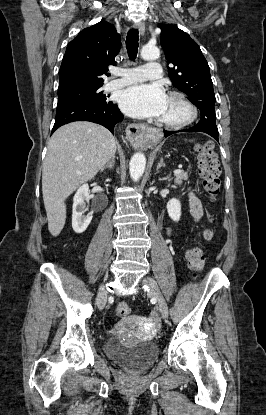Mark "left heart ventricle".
<instances>
[{
    "label": "left heart ventricle",
    "instance_id": "obj_1",
    "mask_svg": "<svg viewBox=\"0 0 266 415\" xmlns=\"http://www.w3.org/2000/svg\"><path fill=\"white\" fill-rule=\"evenodd\" d=\"M187 114L188 112L183 105L176 100L168 98L166 108L159 119L168 122H178L186 118Z\"/></svg>",
    "mask_w": 266,
    "mask_h": 415
}]
</instances>
